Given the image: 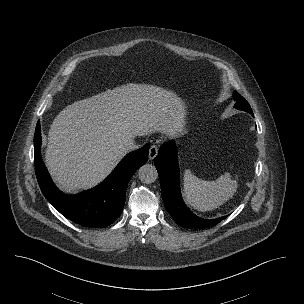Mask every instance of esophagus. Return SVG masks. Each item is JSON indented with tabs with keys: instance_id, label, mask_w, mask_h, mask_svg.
<instances>
[{
	"instance_id": "1",
	"label": "esophagus",
	"mask_w": 304,
	"mask_h": 304,
	"mask_svg": "<svg viewBox=\"0 0 304 304\" xmlns=\"http://www.w3.org/2000/svg\"><path fill=\"white\" fill-rule=\"evenodd\" d=\"M158 153V147L156 145H151L150 149H149V159L153 160L156 155Z\"/></svg>"
}]
</instances>
